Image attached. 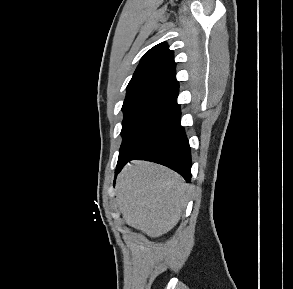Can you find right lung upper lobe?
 <instances>
[{
	"instance_id": "obj_1",
	"label": "right lung upper lobe",
	"mask_w": 293,
	"mask_h": 289,
	"mask_svg": "<svg viewBox=\"0 0 293 289\" xmlns=\"http://www.w3.org/2000/svg\"><path fill=\"white\" fill-rule=\"evenodd\" d=\"M173 52L163 42L151 48L141 59L127 86L125 101L155 99L177 104L179 84L175 76Z\"/></svg>"
}]
</instances>
